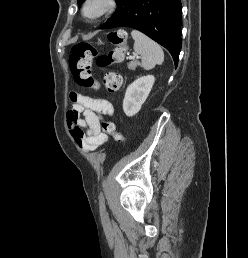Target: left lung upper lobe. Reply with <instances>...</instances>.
<instances>
[{
    "mask_svg": "<svg viewBox=\"0 0 248 258\" xmlns=\"http://www.w3.org/2000/svg\"><path fill=\"white\" fill-rule=\"evenodd\" d=\"M85 0H78V3H82L84 2ZM129 2V0H116V3H117V6H118V9L116 11V13L114 15H112L108 20L112 19L120 10H122L125 5Z\"/></svg>",
    "mask_w": 248,
    "mask_h": 258,
    "instance_id": "left-lung-upper-lobe-1",
    "label": "left lung upper lobe"
}]
</instances>
